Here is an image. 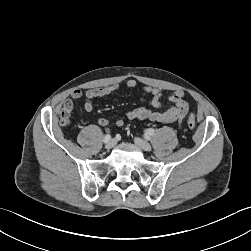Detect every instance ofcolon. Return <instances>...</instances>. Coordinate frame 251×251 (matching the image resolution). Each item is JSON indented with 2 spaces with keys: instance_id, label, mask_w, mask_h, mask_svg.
Wrapping results in <instances>:
<instances>
[{
  "instance_id": "1",
  "label": "colon",
  "mask_w": 251,
  "mask_h": 251,
  "mask_svg": "<svg viewBox=\"0 0 251 251\" xmlns=\"http://www.w3.org/2000/svg\"><path fill=\"white\" fill-rule=\"evenodd\" d=\"M69 108H63L61 112L60 124L64 127H67L71 124ZM187 125L190 129H193L196 126V119L193 114H190L187 118Z\"/></svg>"
}]
</instances>
